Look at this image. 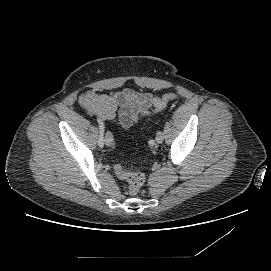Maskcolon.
<instances>
[{
  "label": "colon",
  "instance_id": "obj_1",
  "mask_svg": "<svg viewBox=\"0 0 271 271\" xmlns=\"http://www.w3.org/2000/svg\"><path fill=\"white\" fill-rule=\"evenodd\" d=\"M176 99L177 95L174 92H168L162 97L156 98L153 101V111L155 112L163 110L169 103L175 101ZM147 114H149V112H147ZM114 171L118 178L127 182L128 191L131 195H136L145 182V176L143 173L126 170L121 164L115 165Z\"/></svg>",
  "mask_w": 271,
  "mask_h": 271
}]
</instances>
